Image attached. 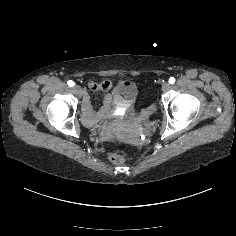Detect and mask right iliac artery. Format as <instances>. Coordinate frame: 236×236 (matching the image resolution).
I'll return each instance as SVG.
<instances>
[{
	"mask_svg": "<svg viewBox=\"0 0 236 236\" xmlns=\"http://www.w3.org/2000/svg\"><path fill=\"white\" fill-rule=\"evenodd\" d=\"M67 84L70 86V87H73L75 85V83L72 81V80H69L67 82Z\"/></svg>",
	"mask_w": 236,
	"mask_h": 236,
	"instance_id": "obj_1",
	"label": "right iliac artery"
}]
</instances>
